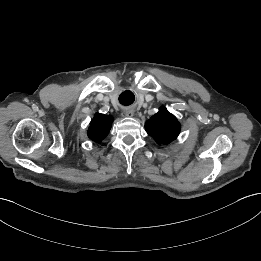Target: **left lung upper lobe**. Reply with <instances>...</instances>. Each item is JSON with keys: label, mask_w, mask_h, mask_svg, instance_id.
<instances>
[{"label": "left lung upper lobe", "mask_w": 261, "mask_h": 261, "mask_svg": "<svg viewBox=\"0 0 261 261\" xmlns=\"http://www.w3.org/2000/svg\"><path fill=\"white\" fill-rule=\"evenodd\" d=\"M145 129L158 144L167 145L177 138L180 123L164 107L145 124Z\"/></svg>", "instance_id": "5c2ea615"}]
</instances>
